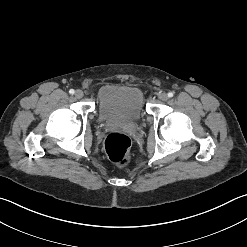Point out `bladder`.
Returning a JSON list of instances; mask_svg holds the SVG:
<instances>
[{"instance_id": "bladder-1", "label": "bladder", "mask_w": 247, "mask_h": 247, "mask_svg": "<svg viewBox=\"0 0 247 247\" xmlns=\"http://www.w3.org/2000/svg\"><path fill=\"white\" fill-rule=\"evenodd\" d=\"M97 108L102 121H137L144 113L143 93L134 86L107 84L98 92Z\"/></svg>"}]
</instances>
